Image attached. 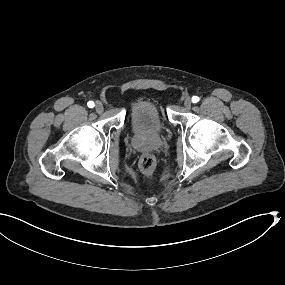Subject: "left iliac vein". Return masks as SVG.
Listing matches in <instances>:
<instances>
[{"label": "left iliac vein", "instance_id": "obj_1", "mask_svg": "<svg viewBox=\"0 0 285 285\" xmlns=\"http://www.w3.org/2000/svg\"><path fill=\"white\" fill-rule=\"evenodd\" d=\"M191 106H192V101H191V99H190V98H186V99L184 100V107H185L186 109H190Z\"/></svg>", "mask_w": 285, "mask_h": 285}]
</instances>
